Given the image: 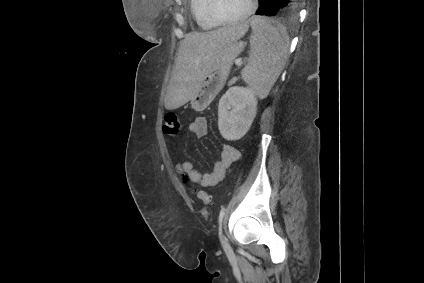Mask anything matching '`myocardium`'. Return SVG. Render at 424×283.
Listing matches in <instances>:
<instances>
[{
    "label": "myocardium",
    "instance_id": "obj_1",
    "mask_svg": "<svg viewBox=\"0 0 424 283\" xmlns=\"http://www.w3.org/2000/svg\"><path fill=\"white\" fill-rule=\"evenodd\" d=\"M217 0H207L206 11L209 19L217 25H232L248 19L256 10L257 0H250L249 8L245 13L237 18L225 19L221 17L216 10Z\"/></svg>",
    "mask_w": 424,
    "mask_h": 283
}]
</instances>
